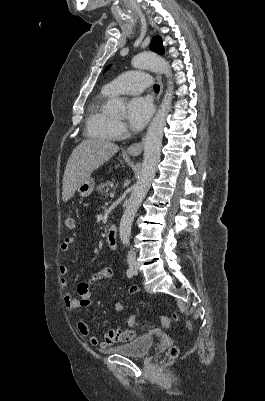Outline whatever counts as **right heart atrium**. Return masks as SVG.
Here are the masks:
<instances>
[{"label": "right heart atrium", "instance_id": "obj_1", "mask_svg": "<svg viewBox=\"0 0 265 401\" xmlns=\"http://www.w3.org/2000/svg\"><path fill=\"white\" fill-rule=\"evenodd\" d=\"M115 131L117 136L122 137L126 134V127L122 122L115 123Z\"/></svg>", "mask_w": 265, "mask_h": 401}]
</instances>
